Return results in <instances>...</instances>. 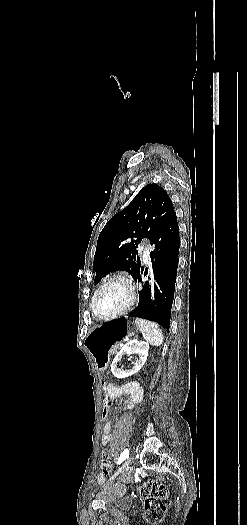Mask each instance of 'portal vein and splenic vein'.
I'll use <instances>...</instances> for the list:
<instances>
[{"label":"portal vein and splenic vein","mask_w":247,"mask_h":525,"mask_svg":"<svg viewBox=\"0 0 247 525\" xmlns=\"http://www.w3.org/2000/svg\"><path fill=\"white\" fill-rule=\"evenodd\" d=\"M121 346H124V343H120V345H118V348H121Z\"/></svg>","instance_id":"1"}]
</instances>
